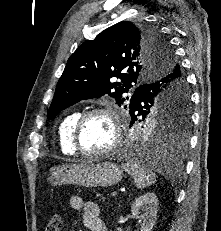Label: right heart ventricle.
Segmentation results:
<instances>
[{"label":"right heart ventricle","instance_id":"1","mask_svg":"<svg viewBox=\"0 0 221 231\" xmlns=\"http://www.w3.org/2000/svg\"><path fill=\"white\" fill-rule=\"evenodd\" d=\"M80 113L78 111L69 113L66 115L59 124L58 127V138L60 149L64 154L73 155L75 150L72 146V130L75 121L79 117Z\"/></svg>","mask_w":221,"mask_h":231}]
</instances>
